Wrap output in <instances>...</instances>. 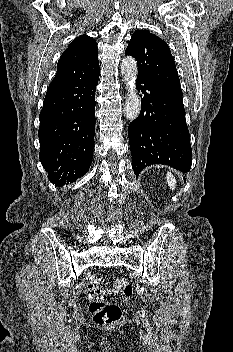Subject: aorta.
Listing matches in <instances>:
<instances>
[{
  "instance_id": "1",
  "label": "aorta",
  "mask_w": 233,
  "mask_h": 352,
  "mask_svg": "<svg viewBox=\"0 0 233 352\" xmlns=\"http://www.w3.org/2000/svg\"><path fill=\"white\" fill-rule=\"evenodd\" d=\"M120 68L127 89L124 115L128 120H135L141 110V101L135 88V81L138 74L137 61L133 57L128 56L122 60Z\"/></svg>"
}]
</instances>
